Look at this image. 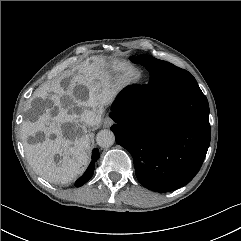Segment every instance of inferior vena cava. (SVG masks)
I'll list each match as a JSON object with an SVG mask.
<instances>
[{
  "label": "inferior vena cava",
  "mask_w": 241,
  "mask_h": 241,
  "mask_svg": "<svg viewBox=\"0 0 241 241\" xmlns=\"http://www.w3.org/2000/svg\"><path fill=\"white\" fill-rule=\"evenodd\" d=\"M96 113L92 110H84L81 114L80 120L87 125H92L95 121Z\"/></svg>",
  "instance_id": "inferior-vena-cava-1"
}]
</instances>
